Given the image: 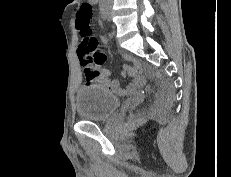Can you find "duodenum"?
Here are the masks:
<instances>
[{
  "label": "duodenum",
  "instance_id": "duodenum-1",
  "mask_svg": "<svg viewBox=\"0 0 231 177\" xmlns=\"http://www.w3.org/2000/svg\"><path fill=\"white\" fill-rule=\"evenodd\" d=\"M92 1L97 2L98 0H92Z\"/></svg>",
  "mask_w": 231,
  "mask_h": 177
}]
</instances>
